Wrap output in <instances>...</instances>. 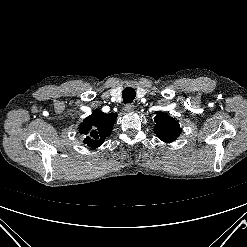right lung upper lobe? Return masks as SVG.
<instances>
[{
	"label": "right lung upper lobe",
	"instance_id": "obj_1",
	"mask_svg": "<svg viewBox=\"0 0 247 247\" xmlns=\"http://www.w3.org/2000/svg\"><path fill=\"white\" fill-rule=\"evenodd\" d=\"M116 118V113L105 114L100 110L93 111L79 127L80 133L86 135L84 144L94 149L99 147L110 135Z\"/></svg>",
	"mask_w": 247,
	"mask_h": 247
}]
</instances>
